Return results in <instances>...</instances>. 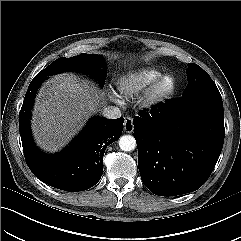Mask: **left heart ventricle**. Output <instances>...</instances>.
Returning <instances> with one entry per match:
<instances>
[{
	"instance_id": "b2bd125f",
	"label": "left heart ventricle",
	"mask_w": 241,
	"mask_h": 241,
	"mask_svg": "<svg viewBox=\"0 0 241 241\" xmlns=\"http://www.w3.org/2000/svg\"><path fill=\"white\" fill-rule=\"evenodd\" d=\"M167 85H168V83H166V84L164 85V87H167Z\"/></svg>"
}]
</instances>
